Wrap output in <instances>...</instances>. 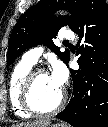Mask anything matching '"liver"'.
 <instances>
[{"label": "liver", "mask_w": 108, "mask_h": 127, "mask_svg": "<svg viewBox=\"0 0 108 127\" xmlns=\"http://www.w3.org/2000/svg\"><path fill=\"white\" fill-rule=\"evenodd\" d=\"M50 122L45 120H39L34 122H24L13 125L12 127H46Z\"/></svg>", "instance_id": "6515ba94"}]
</instances>
